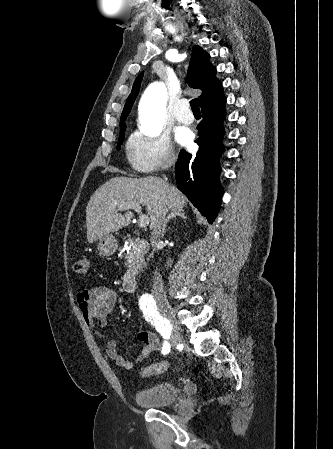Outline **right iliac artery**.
Returning a JSON list of instances; mask_svg holds the SVG:
<instances>
[{
	"instance_id": "82829eb1",
	"label": "right iliac artery",
	"mask_w": 333,
	"mask_h": 449,
	"mask_svg": "<svg viewBox=\"0 0 333 449\" xmlns=\"http://www.w3.org/2000/svg\"><path fill=\"white\" fill-rule=\"evenodd\" d=\"M140 309L143 311L147 320L154 325L156 330L163 336L166 341L163 343L162 353L167 354L170 352V343L167 341L170 338L171 326L169 322L163 318L156 306V302L149 294H144L139 300Z\"/></svg>"
}]
</instances>
